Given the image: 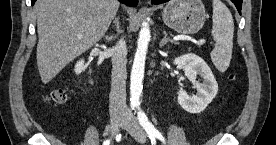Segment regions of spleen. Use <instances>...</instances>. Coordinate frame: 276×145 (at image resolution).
Wrapping results in <instances>:
<instances>
[{"mask_svg":"<svg viewBox=\"0 0 276 145\" xmlns=\"http://www.w3.org/2000/svg\"><path fill=\"white\" fill-rule=\"evenodd\" d=\"M212 4V36L215 47L210 55L215 67L220 72H225L232 57L234 22L231 12L222 1L213 0Z\"/></svg>","mask_w":276,"mask_h":145,"instance_id":"3e777b00","label":"spleen"}]
</instances>
